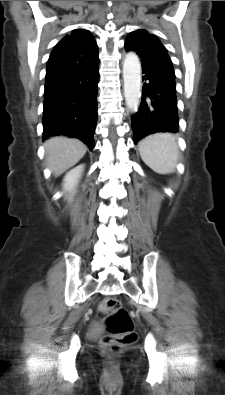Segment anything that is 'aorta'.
Returning a JSON list of instances; mask_svg holds the SVG:
<instances>
[{"label": "aorta", "mask_w": 225, "mask_h": 395, "mask_svg": "<svg viewBox=\"0 0 225 395\" xmlns=\"http://www.w3.org/2000/svg\"><path fill=\"white\" fill-rule=\"evenodd\" d=\"M124 97L127 107L137 111L141 97V64L136 54L127 53L123 62Z\"/></svg>", "instance_id": "obj_1"}]
</instances>
